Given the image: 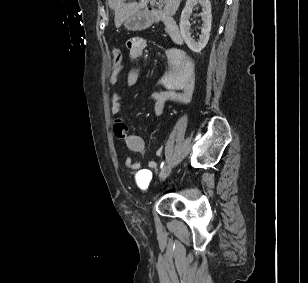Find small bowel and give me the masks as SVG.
<instances>
[{
	"label": "small bowel",
	"mask_w": 308,
	"mask_h": 283,
	"mask_svg": "<svg viewBox=\"0 0 308 283\" xmlns=\"http://www.w3.org/2000/svg\"><path fill=\"white\" fill-rule=\"evenodd\" d=\"M147 47V41L141 37H134L127 42L130 58L140 59ZM168 69L161 78L163 89L152 93L155 101L154 115L160 116L169 102L186 103L193 95L194 91V73L193 64L188 56L181 50L171 48L167 51ZM123 71V66H115L110 77L109 83L115 85L118 82L119 74ZM140 72L132 69L127 75L128 86H135L138 83ZM122 108V96L119 93H113L111 96V113L117 118L114 121V134L119 139L125 141L126 146L132 152H142L145 149L144 139L129 131L126 123L119 117ZM156 155H162V148L156 150ZM126 167L129 169H139L140 164L133 158L126 159ZM155 161L149 162L150 168H155Z\"/></svg>",
	"instance_id": "obj_1"
}]
</instances>
